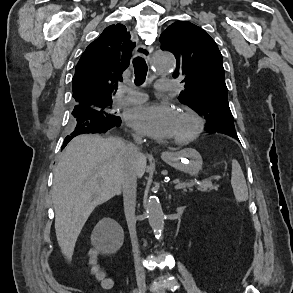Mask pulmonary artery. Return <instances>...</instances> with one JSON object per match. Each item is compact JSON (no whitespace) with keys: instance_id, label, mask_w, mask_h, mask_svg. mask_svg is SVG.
Instances as JSON below:
<instances>
[{"instance_id":"1","label":"pulmonary artery","mask_w":293,"mask_h":293,"mask_svg":"<svg viewBox=\"0 0 293 293\" xmlns=\"http://www.w3.org/2000/svg\"><path fill=\"white\" fill-rule=\"evenodd\" d=\"M156 89L159 92H169L174 89V83L168 79H161L156 82ZM147 99L145 93L133 90L126 86H121L119 89V101L122 104L141 103Z\"/></svg>"}]
</instances>
